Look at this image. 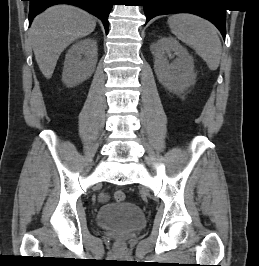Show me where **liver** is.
I'll list each match as a JSON object with an SVG mask.
<instances>
[{
    "mask_svg": "<svg viewBox=\"0 0 259 266\" xmlns=\"http://www.w3.org/2000/svg\"><path fill=\"white\" fill-rule=\"evenodd\" d=\"M95 27V17L70 5L52 6L35 17L29 34L35 59L44 77H52L64 49L92 33Z\"/></svg>",
    "mask_w": 259,
    "mask_h": 266,
    "instance_id": "1",
    "label": "liver"
}]
</instances>
